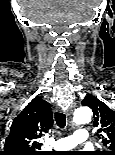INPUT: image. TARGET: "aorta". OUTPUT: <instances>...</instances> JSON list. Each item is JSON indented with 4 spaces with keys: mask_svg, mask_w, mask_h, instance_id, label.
<instances>
[{
    "mask_svg": "<svg viewBox=\"0 0 115 155\" xmlns=\"http://www.w3.org/2000/svg\"><path fill=\"white\" fill-rule=\"evenodd\" d=\"M92 118V111L89 107L78 108L73 117V122L77 125L89 123Z\"/></svg>",
    "mask_w": 115,
    "mask_h": 155,
    "instance_id": "aorta-1",
    "label": "aorta"
}]
</instances>
